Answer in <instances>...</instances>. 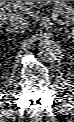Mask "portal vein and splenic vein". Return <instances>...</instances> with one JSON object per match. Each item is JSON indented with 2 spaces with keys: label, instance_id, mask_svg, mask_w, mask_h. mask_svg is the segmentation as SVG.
<instances>
[{
  "label": "portal vein and splenic vein",
  "instance_id": "18ae733b",
  "mask_svg": "<svg viewBox=\"0 0 74 122\" xmlns=\"http://www.w3.org/2000/svg\"><path fill=\"white\" fill-rule=\"evenodd\" d=\"M27 5V2H23V1H8L5 4V8L8 11H12L15 9H25ZM52 18L53 20H56L58 22H60L59 17H58V13H52Z\"/></svg>",
  "mask_w": 74,
  "mask_h": 122
}]
</instances>
